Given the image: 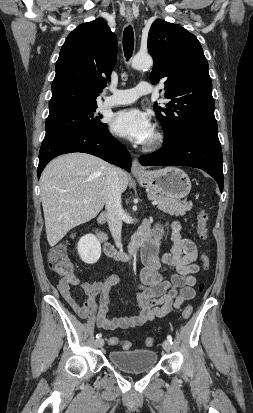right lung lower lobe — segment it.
Wrapping results in <instances>:
<instances>
[{"mask_svg": "<svg viewBox=\"0 0 253 413\" xmlns=\"http://www.w3.org/2000/svg\"><path fill=\"white\" fill-rule=\"evenodd\" d=\"M71 152L89 153L131 171V155L125 146L110 134L106 125L97 132L65 133L44 138L39 153L38 178L50 160Z\"/></svg>", "mask_w": 253, "mask_h": 413, "instance_id": "obj_1", "label": "right lung lower lobe"}]
</instances>
